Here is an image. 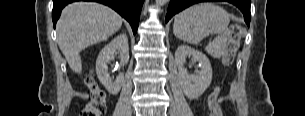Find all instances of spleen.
Segmentation results:
<instances>
[{"label":"spleen","instance_id":"3e777b00","mask_svg":"<svg viewBox=\"0 0 305 116\" xmlns=\"http://www.w3.org/2000/svg\"><path fill=\"white\" fill-rule=\"evenodd\" d=\"M229 22V15L222 7L212 3H200L175 16L173 32L177 38L195 45L209 34H219L212 45L223 47L222 34L227 30Z\"/></svg>","mask_w":305,"mask_h":116}]
</instances>
